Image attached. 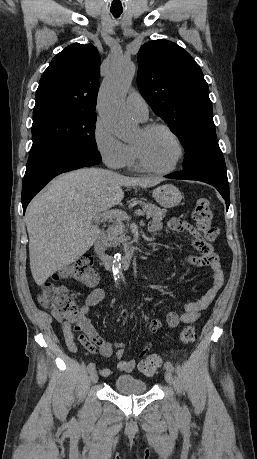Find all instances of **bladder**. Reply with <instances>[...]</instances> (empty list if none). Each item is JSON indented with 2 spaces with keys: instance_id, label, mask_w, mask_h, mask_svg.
Returning a JSON list of instances; mask_svg holds the SVG:
<instances>
[{
  "instance_id": "1",
  "label": "bladder",
  "mask_w": 257,
  "mask_h": 459,
  "mask_svg": "<svg viewBox=\"0 0 257 459\" xmlns=\"http://www.w3.org/2000/svg\"><path fill=\"white\" fill-rule=\"evenodd\" d=\"M113 388L115 391L127 395L144 394L148 391L147 383L132 375L117 376Z\"/></svg>"
}]
</instances>
